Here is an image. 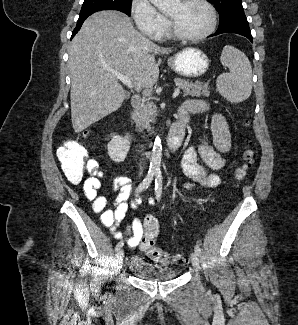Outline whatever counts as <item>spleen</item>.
I'll return each mask as SVG.
<instances>
[{"mask_svg":"<svg viewBox=\"0 0 298 325\" xmlns=\"http://www.w3.org/2000/svg\"><path fill=\"white\" fill-rule=\"evenodd\" d=\"M220 60L223 66H228L229 72H222L216 78V86L219 94H222L229 102H242L249 98L252 92V68L251 62L245 52L226 44Z\"/></svg>","mask_w":298,"mask_h":325,"instance_id":"obj_1","label":"spleen"}]
</instances>
